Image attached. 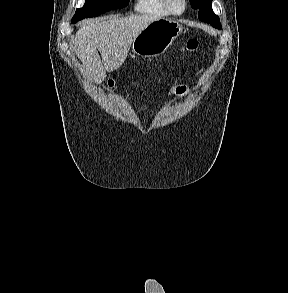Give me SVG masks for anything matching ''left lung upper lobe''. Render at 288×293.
Wrapping results in <instances>:
<instances>
[{
    "label": "left lung upper lobe",
    "mask_w": 288,
    "mask_h": 293,
    "mask_svg": "<svg viewBox=\"0 0 288 293\" xmlns=\"http://www.w3.org/2000/svg\"><path fill=\"white\" fill-rule=\"evenodd\" d=\"M193 9L199 11V20L221 29L219 17L212 10V0H189Z\"/></svg>",
    "instance_id": "1"
}]
</instances>
